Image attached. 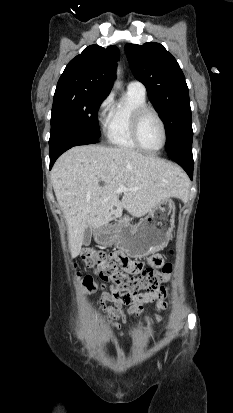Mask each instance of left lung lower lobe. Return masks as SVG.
<instances>
[{
    "instance_id": "left-lung-lower-lobe-1",
    "label": "left lung lower lobe",
    "mask_w": 233,
    "mask_h": 413,
    "mask_svg": "<svg viewBox=\"0 0 233 413\" xmlns=\"http://www.w3.org/2000/svg\"><path fill=\"white\" fill-rule=\"evenodd\" d=\"M168 157L178 163L189 175L190 179L193 178V155L191 151H176L174 153H168Z\"/></svg>"
}]
</instances>
